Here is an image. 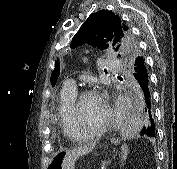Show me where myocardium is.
Masks as SVG:
<instances>
[{
	"label": "myocardium",
	"mask_w": 177,
	"mask_h": 169,
	"mask_svg": "<svg viewBox=\"0 0 177 169\" xmlns=\"http://www.w3.org/2000/svg\"><path fill=\"white\" fill-rule=\"evenodd\" d=\"M91 95L97 96L98 98H100L102 100V102L104 103V106H105V110H106V117L100 127L93 129L91 131H84L83 132L80 127L79 107H80V104H81L83 98H85L87 96H91ZM71 115H72L73 127L75 130L76 136L80 139L89 138V137L98 136V135L103 134L108 129L110 122H111V118H112L111 109H110L109 105L105 102L104 98L99 93H97L95 90H93L91 88L82 89L77 93V96H76V98L73 102L72 108H71Z\"/></svg>",
	"instance_id": "1"
}]
</instances>
